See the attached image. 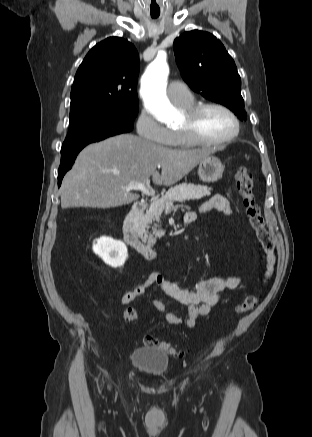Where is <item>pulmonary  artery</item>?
Returning <instances> with one entry per match:
<instances>
[{"label": "pulmonary artery", "mask_w": 312, "mask_h": 437, "mask_svg": "<svg viewBox=\"0 0 312 437\" xmlns=\"http://www.w3.org/2000/svg\"><path fill=\"white\" fill-rule=\"evenodd\" d=\"M167 96L177 105L186 104L193 99L188 87L184 83L178 81H172L169 83L167 87Z\"/></svg>", "instance_id": "e3ab8cb5"}]
</instances>
